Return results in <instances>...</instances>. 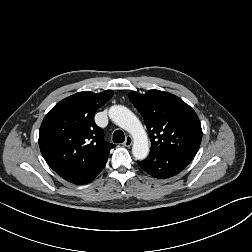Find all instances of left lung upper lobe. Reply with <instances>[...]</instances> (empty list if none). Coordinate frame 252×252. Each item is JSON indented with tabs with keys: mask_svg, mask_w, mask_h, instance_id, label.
I'll return each instance as SVG.
<instances>
[{
	"mask_svg": "<svg viewBox=\"0 0 252 252\" xmlns=\"http://www.w3.org/2000/svg\"><path fill=\"white\" fill-rule=\"evenodd\" d=\"M144 118L151 139L149 155L183 154L194 157L202 139L195 111L179 97L159 90L129 93Z\"/></svg>",
	"mask_w": 252,
	"mask_h": 252,
	"instance_id": "obj_1",
	"label": "left lung upper lobe"
}]
</instances>
